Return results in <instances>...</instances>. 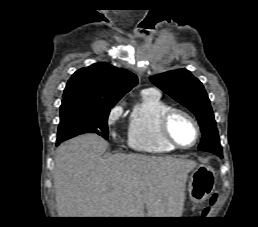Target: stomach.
I'll use <instances>...</instances> for the list:
<instances>
[{
	"label": "stomach",
	"instance_id": "obj_1",
	"mask_svg": "<svg viewBox=\"0 0 258 227\" xmlns=\"http://www.w3.org/2000/svg\"><path fill=\"white\" fill-rule=\"evenodd\" d=\"M216 176L213 168L207 165L197 166L188 180V193L193 203L206 200L214 191Z\"/></svg>",
	"mask_w": 258,
	"mask_h": 227
}]
</instances>
